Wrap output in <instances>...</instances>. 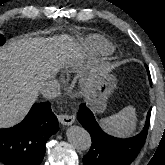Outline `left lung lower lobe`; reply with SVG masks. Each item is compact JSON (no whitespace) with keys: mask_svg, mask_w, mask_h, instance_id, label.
I'll return each mask as SVG.
<instances>
[{"mask_svg":"<svg viewBox=\"0 0 165 165\" xmlns=\"http://www.w3.org/2000/svg\"><path fill=\"white\" fill-rule=\"evenodd\" d=\"M150 115L151 109L141 133L132 138L120 139L106 134L96 122L93 113L82 103L77 118L92 137V145L83 157V165H130L144 145Z\"/></svg>","mask_w":165,"mask_h":165,"instance_id":"left-lung-lower-lobe-1","label":"left lung lower lobe"}]
</instances>
